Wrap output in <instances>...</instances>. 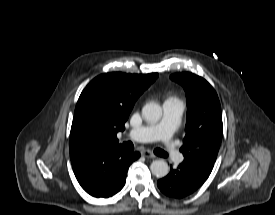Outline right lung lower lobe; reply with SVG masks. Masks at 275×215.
I'll list each match as a JSON object with an SVG mask.
<instances>
[{
	"instance_id": "obj_1",
	"label": "right lung lower lobe",
	"mask_w": 275,
	"mask_h": 215,
	"mask_svg": "<svg viewBox=\"0 0 275 215\" xmlns=\"http://www.w3.org/2000/svg\"><path fill=\"white\" fill-rule=\"evenodd\" d=\"M139 157V152L126 151L117 144L93 147L71 163L79 184L87 193L107 198L123 188L129 166Z\"/></svg>"
}]
</instances>
